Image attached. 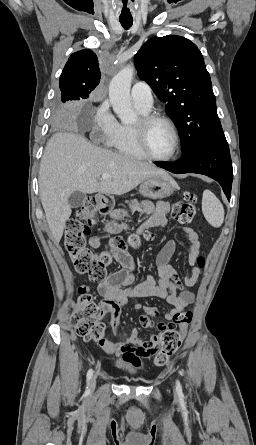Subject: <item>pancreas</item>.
Listing matches in <instances>:
<instances>
[{
	"label": "pancreas",
	"instance_id": "obj_1",
	"mask_svg": "<svg viewBox=\"0 0 256 445\" xmlns=\"http://www.w3.org/2000/svg\"><path fill=\"white\" fill-rule=\"evenodd\" d=\"M129 204V208L131 211H136L139 208H142L141 213L151 214L155 211V206L150 201H142L138 202L137 200H132L130 202H127Z\"/></svg>",
	"mask_w": 256,
	"mask_h": 445
}]
</instances>
